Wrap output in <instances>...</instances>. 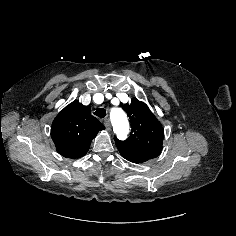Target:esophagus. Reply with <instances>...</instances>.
<instances>
[{
  "label": "esophagus",
  "instance_id": "1",
  "mask_svg": "<svg viewBox=\"0 0 236 236\" xmlns=\"http://www.w3.org/2000/svg\"><path fill=\"white\" fill-rule=\"evenodd\" d=\"M104 125L108 131L111 129L110 121L108 118L104 120Z\"/></svg>",
  "mask_w": 236,
  "mask_h": 236
}]
</instances>
